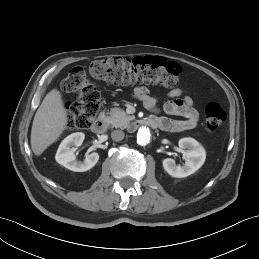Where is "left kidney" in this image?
Instances as JSON below:
<instances>
[{"mask_svg": "<svg viewBox=\"0 0 259 259\" xmlns=\"http://www.w3.org/2000/svg\"><path fill=\"white\" fill-rule=\"evenodd\" d=\"M179 147L186 149L185 164L177 165L171 158L163 160V168L172 177L183 178L196 172L205 162L206 152L204 148L193 138H182L179 140Z\"/></svg>", "mask_w": 259, "mask_h": 259, "instance_id": "5707ae66", "label": "left kidney"}]
</instances>
